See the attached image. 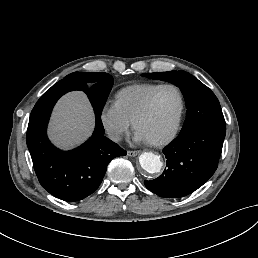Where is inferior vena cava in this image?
Masks as SVG:
<instances>
[{
  "mask_svg": "<svg viewBox=\"0 0 258 258\" xmlns=\"http://www.w3.org/2000/svg\"><path fill=\"white\" fill-rule=\"evenodd\" d=\"M107 134H108V137L110 139H112L113 141H119L121 139L119 131H117L115 129L108 128L107 129Z\"/></svg>",
  "mask_w": 258,
  "mask_h": 258,
  "instance_id": "602c4592",
  "label": "inferior vena cava"
}]
</instances>
